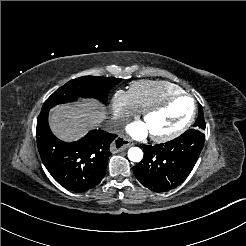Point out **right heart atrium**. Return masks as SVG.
Listing matches in <instances>:
<instances>
[{
	"instance_id": "obj_1",
	"label": "right heart atrium",
	"mask_w": 246,
	"mask_h": 246,
	"mask_svg": "<svg viewBox=\"0 0 246 246\" xmlns=\"http://www.w3.org/2000/svg\"><path fill=\"white\" fill-rule=\"evenodd\" d=\"M111 111L116 118H127L133 115L134 109L128 92L117 90L111 101Z\"/></svg>"
}]
</instances>
